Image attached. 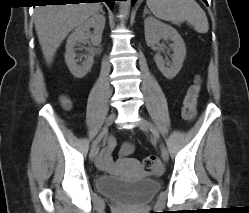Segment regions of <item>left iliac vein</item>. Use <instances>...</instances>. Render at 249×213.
Listing matches in <instances>:
<instances>
[{"label": "left iliac vein", "mask_w": 249, "mask_h": 213, "mask_svg": "<svg viewBox=\"0 0 249 213\" xmlns=\"http://www.w3.org/2000/svg\"><path fill=\"white\" fill-rule=\"evenodd\" d=\"M138 127L144 131H149L151 129L150 123L144 118L140 119L138 122ZM161 156L164 162H167L169 159V154L165 146H161Z\"/></svg>", "instance_id": "obj_1"}]
</instances>
